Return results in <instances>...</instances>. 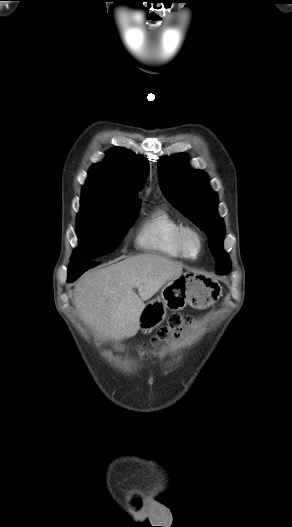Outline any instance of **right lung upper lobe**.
Listing matches in <instances>:
<instances>
[{
    "label": "right lung upper lobe",
    "mask_w": 292,
    "mask_h": 527,
    "mask_svg": "<svg viewBox=\"0 0 292 527\" xmlns=\"http://www.w3.org/2000/svg\"><path fill=\"white\" fill-rule=\"evenodd\" d=\"M107 155V160L90 169L82 194L115 203L140 202L138 192L149 172L148 160L119 147Z\"/></svg>",
    "instance_id": "cb5924a9"
}]
</instances>
